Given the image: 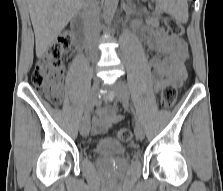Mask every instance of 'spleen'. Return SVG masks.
Returning a JSON list of instances; mask_svg holds the SVG:
<instances>
[{
  "label": "spleen",
  "instance_id": "spleen-1",
  "mask_svg": "<svg viewBox=\"0 0 223 191\" xmlns=\"http://www.w3.org/2000/svg\"><path fill=\"white\" fill-rule=\"evenodd\" d=\"M170 3V13L182 22H186L188 19L187 0H170Z\"/></svg>",
  "mask_w": 223,
  "mask_h": 191
}]
</instances>
